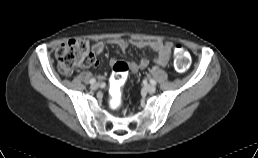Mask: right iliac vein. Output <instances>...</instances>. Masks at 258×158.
<instances>
[{
  "label": "right iliac vein",
  "instance_id": "63e3f726",
  "mask_svg": "<svg viewBox=\"0 0 258 158\" xmlns=\"http://www.w3.org/2000/svg\"><path fill=\"white\" fill-rule=\"evenodd\" d=\"M99 88V84L98 83H93L92 85H91V89L92 90H96V89H98Z\"/></svg>",
  "mask_w": 258,
  "mask_h": 158
}]
</instances>
